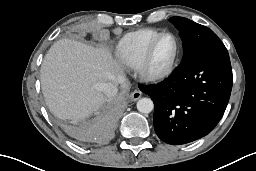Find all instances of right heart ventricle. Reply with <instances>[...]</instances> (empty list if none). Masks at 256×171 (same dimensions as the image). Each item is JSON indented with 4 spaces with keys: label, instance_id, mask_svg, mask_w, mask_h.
Segmentation results:
<instances>
[{
    "label": "right heart ventricle",
    "instance_id": "obj_1",
    "mask_svg": "<svg viewBox=\"0 0 256 171\" xmlns=\"http://www.w3.org/2000/svg\"><path fill=\"white\" fill-rule=\"evenodd\" d=\"M161 33L152 28L127 33L117 44V58L131 68L138 67L150 42Z\"/></svg>",
    "mask_w": 256,
    "mask_h": 171
}]
</instances>
